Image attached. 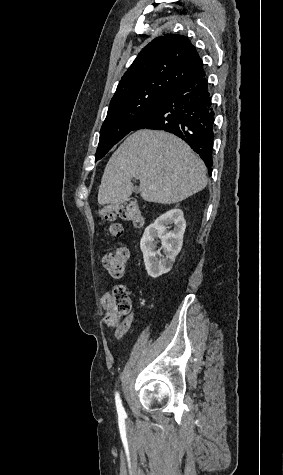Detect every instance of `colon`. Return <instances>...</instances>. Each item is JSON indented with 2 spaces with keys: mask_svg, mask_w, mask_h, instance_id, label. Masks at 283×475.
<instances>
[{
  "mask_svg": "<svg viewBox=\"0 0 283 475\" xmlns=\"http://www.w3.org/2000/svg\"><path fill=\"white\" fill-rule=\"evenodd\" d=\"M99 216L103 222L108 224V235L114 238H120L124 234V229L119 220L130 221L137 227L143 224V215L134 198L106 206L100 211ZM128 258V249L124 246H118L114 250L106 251L102 261L112 278H120L124 275ZM109 294L110 297H105L102 300L103 305L111 306L113 311V314L107 317L106 325H113L124 330L132 320L133 311L128 288L125 285H117Z\"/></svg>",
  "mask_w": 283,
  "mask_h": 475,
  "instance_id": "1",
  "label": "colon"
}]
</instances>
